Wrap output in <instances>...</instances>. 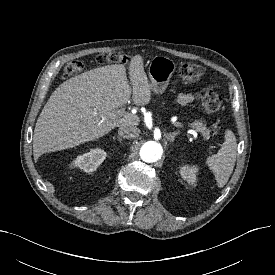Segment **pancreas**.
Listing matches in <instances>:
<instances>
[{"label":"pancreas","instance_id":"cf45deb5","mask_svg":"<svg viewBox=\"0 0 275 275\" xmlns=\"http://www.w3.org/2000/svg\"><path fill=\"white\" fill-rule=\"evenodd\" d=\"M191 127H193L197 132H200L205 140L210 138V129H208L204 123L195 121L191 124Z\"/></svg>","mask_w":275,"mask_h":275}]
</instances>
